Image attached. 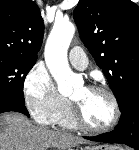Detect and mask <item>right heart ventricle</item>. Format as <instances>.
Listing matches in <instances>:
<instances>
[{
	"label": "right heart ventricle",
	"instance_id": "obj_1",
	"mask_svg": "<svg viewBox=\"0 0 139 150\" xmlns=\"http://www.w3.org/2000/svg\"><path fill=\"white\" fill-rule=\"evenodd\" d=\"M56 123H58L61 127L66 129H75L77 127L72 114V107L69 103L68 107L64 110V112L59 116Z\"/></svg>",
	"mask_w": 139,
	"mask_h": 150
}]
</instances>
